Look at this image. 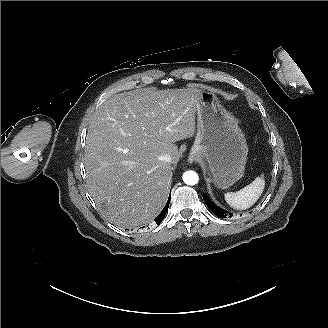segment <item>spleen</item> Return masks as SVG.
<instances>
[{"label":"spleen","instance_id":"spleen-1","mask_svg":"<svg viewBox=\"0 0 328 328\" xmlns=\"http://www.w3.org/2000/svg\"><path fill=\"white\" fill-rule=\"evenodd\" d=\"M264 188V180L257 177L249 185L237 192L225 193L226 202L233 208L243 210L252 206L260 197Z\"/></svg>","mask_w":328,"mask_h":328}]
</instances>
